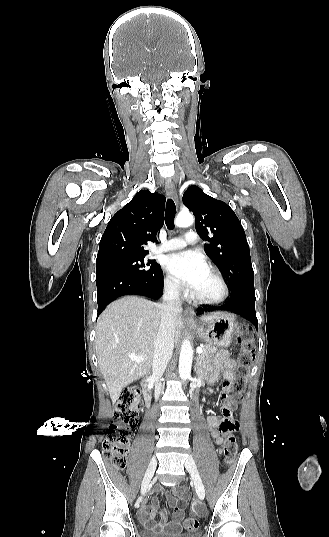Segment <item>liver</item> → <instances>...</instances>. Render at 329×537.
<instances>
[{
    "mask_svg": "<svg viewBox=\"0 0 329 537\" xmlns=\"http://www.w3.org/2000/svg\"><path fill=\"white\" fill-rule=\"evenodd\" d=\"M161 305L136 296L114 301L99 316L96 325V353L112 402L123 388L145 376L151 369L154 343L159 330ZM220 313L201 317L208 322ZM182 322L177 316L175 342L181 333ZM144 357L132 361L128 355Z\"/></svg>",
    "mask_w": 329,
    "mask_h": 537,
    "instance_id": "1",
    "label": "liver"
}]
</instances>
